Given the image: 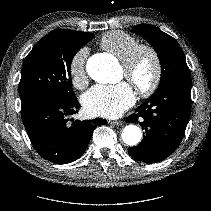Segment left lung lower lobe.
Masks as SVG:
<instances>
[{"mask_svg":"<svg viewBox=\"0 0 211 211\" xmlns=\"http://www.w3.org/2000/svg\"><path fill=\"white\" fill-rule=\"evenodd\" d=\"M190 91L191 77L170 81L127 117V122L139 123L145 129L142 142L128 148L132 158L153 163L177 149L191 112Z\"/></svg>","mask_w":211,"mask_h":211,"instance_id":"0a47b994","label":"left lung lower lobe"}]
</instances>
